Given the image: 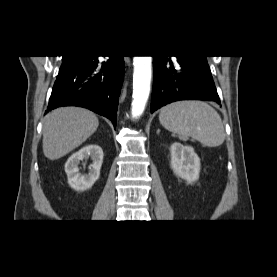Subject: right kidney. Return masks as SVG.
Listing matches in <instances>:
<instances>
[{
  "mask_svg": "<svg viewBox=\"0 0 277 277\" xmlns=\"http://www.w3.org/2000/svg\"><path fill=\"white\" fill-rule=\"evenodd\" d=\"M89 158L92 160V164L89 166V173H81L78 167L80 161ZM102 163L103 151L100 146L91 144L81 148L78 152L72 154L65 163L68 184L76 191H84L91 188L100 176Z\"/></svg>",
  "mask_w": 277,
  "mask_h": 277,
  "instance_id": "ca27d5eb",
  "label": "right kidney"
}]
</instances>
